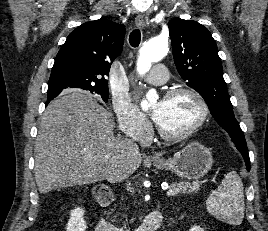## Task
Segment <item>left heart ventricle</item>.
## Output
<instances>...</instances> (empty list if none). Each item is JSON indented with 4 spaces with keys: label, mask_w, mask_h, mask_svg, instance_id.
Segmentation results:
<instances>
[{
    "label": "left heart ventricle",
    "mask_w": 268,
    "mask_h": 231,
    "mask_svg": "<svg viewBox=\"0 0 268 231\" xmlns=\"http://www.w3.org/2000/svg\"><path fill=\"white\" fill-rule=\"evenodd\" d=\"M153 109L157 112V123L168 133L185 131L195 123L199 115L197 103L187 94L155 101Z\"/></svg>",
    "instance_id": "left-heart-ventricle-1"
}]
</instances>
